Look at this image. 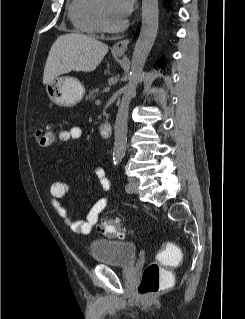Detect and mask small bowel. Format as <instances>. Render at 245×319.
Returning a JSON list of instances; mask_svg holds the SVG:
<instances>
[{"label":"small bowel","instance_id":"c3829d8e","mask_svg":"<svg viewBox=\"0 0 245 319\" xmlns=\"http://www.w3.org/2000/svg\"><path fill=\"white\" fill-rule=\"evenodd\" d=\"M82 137V129L73 125L60 132L59 140L62 143L80 140ZM98 178L102 195L90 208L84 220H75L71 217L68 208L60 201L69 191V184L65 181H55L50 186V201L52 207L56 210L59 217L70 226L73 232L82 235L91 233L100 214L107 208L111 199V184L106 171L97 167L94 170Z\"/></svg>","mask_w":245,"mask_h":319}]
</instances>
